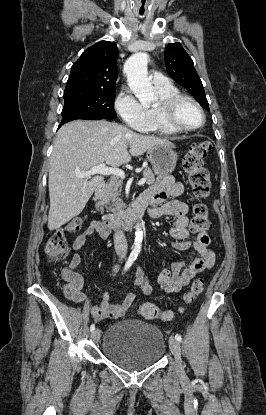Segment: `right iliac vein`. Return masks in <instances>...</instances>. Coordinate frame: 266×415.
Wrapping results in <instances>:
<instances>
[{"mask_svg": "<svg viewBox=\"0 0 266 415\" xmlns=\"http://www.w3.org/2000/svg\"><path fill=\"white\" fill-rule=\"evenodd\" d=\"M101 336V332L99 329H96L92 332L91 338L94 342H98Z\"/></svg>", "mask_w": 266, "mask_h": 415, "instance_id": "1", "label": "right iliac vein"}]
</instances>
